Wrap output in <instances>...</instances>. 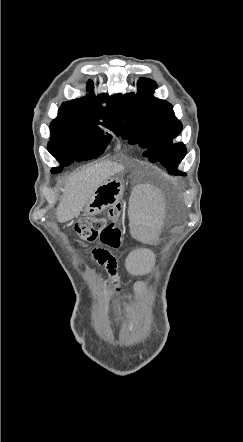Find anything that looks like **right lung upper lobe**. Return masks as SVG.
<instances>
[{
    "mask_svg": "<svg viewBox=\"0 0 243 442\" xmlns=\"http://www.w3.org/2000/svg\"><path fill=\"white\" fill-rule=\"evenodd\" d=\"M93 88V83L88 82L87 90L90 94L80 99L65 102L60 109L86 119H104L105 123L121 127L123 121L121 95L109 97L108 94H102L95 96ZM103 102L107 103L106 107L101 106Z\"/></svg>",
    "mask_w": 243,
    "mask_h": 442,
    "instance_id": "obj_1",
    "label": "right lung upper lobe"
}]
</instances>
